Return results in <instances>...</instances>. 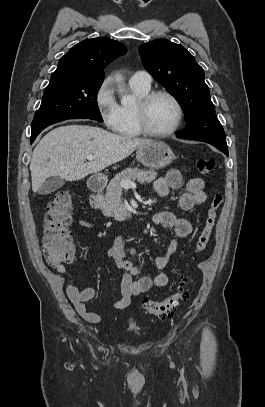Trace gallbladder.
<instances>
[{
  "instance_id": "1",
  "label": "gallbladder",
  "mask_w": 265,
  "mask_h": 407,
  "mask_svg": "<svg viewBox=\"0 0 265 407\" xmlns=\"http://www.w3.org/2000/svg\"><path fill=\"white\" fill-rule=\"evenodd\" d=\"M65 184L64 179L60 177H52L48 179L38 190L39 194L47 195L58 190Z\"/></svg>"
}]
</instances>
